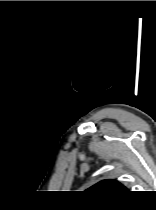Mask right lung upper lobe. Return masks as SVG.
<instances>
[{
  "instance_id": "cb5924a9",
  "label": "right lung upper lobe",
  "mask_w": 156,
  "mask_h": 210,
  "mask_svg": "<svg viewBox=\"0 0 156 210\" xmlns=\"http://www.w3.org/2000/svg\"><path fill=\"white\" fill-rule=\"evenodd\" d=\"M88 191L96 192V193H123L126 192L127 189L120 184L116 180H103L88 189Z\"/></svg>"
}]
</instances>
